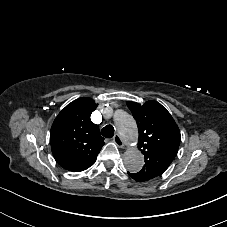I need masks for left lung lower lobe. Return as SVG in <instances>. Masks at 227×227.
I'll return each instance as SVG.
<instances>
[{
  "label": "left lung lower lobe",
  "instance_id": "obj_1",
  "mask_svg": "<svg viewBox=\"0 0 227 227\" xmlns=\"http://www.w3.org/2000/svg\"><path fill=\"white\" fill-rule=\"evenodd\" d=\"M128 174H129L134 180H136V181H138V182L147 181V179L142 178V177L138 176V175L135 174V173H129V172H128Z\"/></svg>",
  "mask_w": 227,
  "mask_h": 227
}]
</instances>
